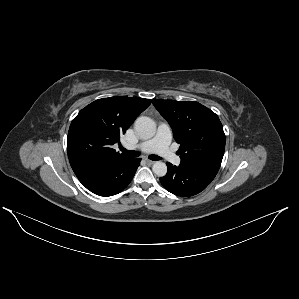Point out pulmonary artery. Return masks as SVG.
<instances>
[{
	"label": "pulmonary artery",
	"instance_id": "pulmonary-artery-1",
	"mask_svg": "<svg viewBox=\"0 0 299 299\" xmlns=\"http://www.w3.org/2000/svg\"><path fill=\"white\" fill-rule=\"evenodd\" d=\"M171 128L167 123H161L157 134L150 140L143 141L135 146H128L129 149H137L146 153H156L174 165H179L180 157L175 155L171 148Z\"/></svg>",
	"mask_w": 299,
	"mask_h": 299
}]
</instances>
